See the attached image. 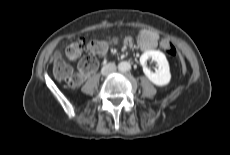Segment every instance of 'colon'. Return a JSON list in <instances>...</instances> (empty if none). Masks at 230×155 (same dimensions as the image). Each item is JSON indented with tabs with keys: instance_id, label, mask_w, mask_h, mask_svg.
Wrapping results in <instances>:
<instances>
[{
	"instance_id": "5ec220e1",
	"label": "colon",
	"mask_w": 230,
	"mask_h": 155,
	"mask_svg": "<svg viewBox=\"0 0 230 155\" xmlns=\"http://www.w3.org/2000/svg\"><path fill=\"white\" fill-rule=\"evenodd\" d=\"M161 48L171 57L177 58L178 50L174 43L168 38H162L160 41ZM108 44L104 41L94 40L87 44V55L80 63V69L84 73L92 72L97 67L98 55L107 51ZM84 43L81 40L74 41L66 46L64 55L69 60H77L83 53ZM54 76L65 82L68 87H74L78 83V78L73 76L71 67L60 56H55L53 60Z\"/></svg>"
}]
</instances>
